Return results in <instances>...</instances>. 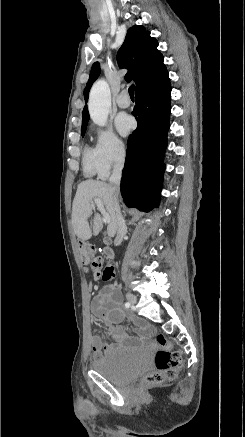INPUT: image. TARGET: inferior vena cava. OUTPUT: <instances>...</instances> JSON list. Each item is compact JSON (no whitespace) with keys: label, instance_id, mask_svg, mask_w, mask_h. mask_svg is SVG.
Here are the masks:
<instances>
[{"label":"inferior vena cava","instance_id":"obj_1","mask_svg":"<svg viewBox=\"0 0 245 437\" xmlns=\"http://www.w3.org/2000/svg\"><path fill=\"white\" fill-rule=\"evenodd\" d=\"M124 160H125V150L124 147H121L119 149V152L115 160L112 175L109 179L110 185L112 186V189L114 191V208L117 217V236L114 241V244L116 246L121 244L122 237L126 232L125 220L121 215L118 198H117L120 189V180L122 175V169L124 166Z\"/></svg>","mask_w":245,"mask_h":437}]
</instances>
